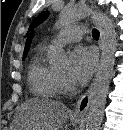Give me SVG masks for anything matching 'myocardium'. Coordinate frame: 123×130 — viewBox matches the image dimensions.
Returning a JSON list of instances; mask_svg holds the SVG:
<instances>
[{"instance_id":"myocardium-1","label":"myocardium","mask_w":123,"mask_h":130,"mask_svg":"<svg viewBox=\"0 0 123 130\" xmlns=\"http://www.w3.org/2000/svg\"><path fill=\"white\" fill-rule=\"evenodd\" d=\"M60 75V74H59ZM60 78H64V76L63 75H60Z\"/></svg>"}]
</instances>
